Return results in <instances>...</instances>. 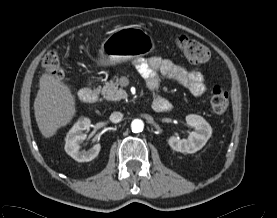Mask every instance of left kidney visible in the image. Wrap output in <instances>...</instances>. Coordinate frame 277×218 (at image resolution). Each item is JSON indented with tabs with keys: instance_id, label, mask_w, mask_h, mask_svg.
Returning <instances> with one entry per match:
<instances>
[{
	"instance_id": "left-kidney-1",
	"label": "left kidney",
	"mask_w": 277,
	"mask_h": 218,
	"mask_svg": "<svg viewBox=\"0 0 277 218\" xmlns=\"http://www.w3.org/2000/svg\"><path fill=\"white\" fill-rule=\"evenodd\" d=\"M185 119L186 123L193 127L195 131L189 134L188 139H179L176 136H171L168 139V144L174 151L191 154L203 148L212 135V128L210 124L199 115L189 114Z\"/></svg>"
}]
</instances>
